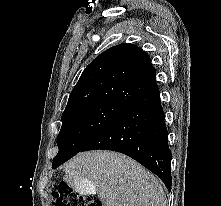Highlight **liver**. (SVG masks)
I'll use <instances>...</instances> for the list:
<instances>
[{"instance_id":"6515ba94","label":"liver","mask_w":221,"mask_h":206,"mask_svg":"<svg viewBox=\"0 0 221 206\" xmlns=\"http://www.w3.org/2000/svg\"><path fill=\"white\" fill-rule=\"evenodd\" d=\"M65 179L76 191L88 183L104 206H166L157 178L139 163L117 152L79 153L65 167ZM91 188L86 187L87 194Z\"/></svg>"}]
</instances>
